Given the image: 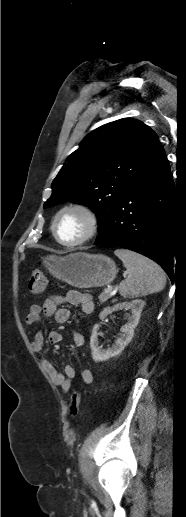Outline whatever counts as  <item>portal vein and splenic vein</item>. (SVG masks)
<instances>
[{"label": "portal vein and splenic vein", "mask_w": 186, "mask_h": 517, "mask_svg": "<svg viewBox=\"0 0 186 517\" xmlns=\"http://www.w3.org/2000/svg\"><path fill=\"white\" fill-rule=\"evenodd\" d=\"M112 290H113V287L112 286H108V288L105 289V292L106 293H110V292H112Z\"/></svg>", "instance_id": "1"}]
</instances>
